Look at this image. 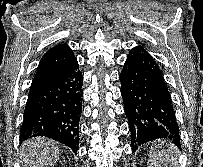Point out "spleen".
I'll list each match as a JSON object with an SVG mask.
<instances>
[{
  "label": "spleen",
  "mask_w": 203,
  "mask_h": 167,
  "mask_svg": "<svg viewBox=\"0 0 203 167\" xmlns=\"http://www.w3.org/2000/svg\"><path fill=\"white\" fill-rule=\"evenodd\" d=\"M176 147L165 141L155 142L149 153L148 167H177Z\"/></svg>",
  "instance_id": "spleen-1"
}]
</instances>
